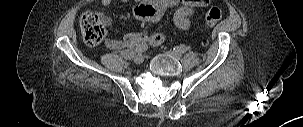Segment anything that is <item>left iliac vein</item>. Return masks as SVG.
I'll list each match as a JSON object with an SVG mask.
<instances>
[{"mask_svg": "<svg viewBox=\"0 0 303 127\" xmlns=\"http://www.w3.org/2000/svg\"><path fill=\"white\" fill-rule=\"evenodd\" d=\"M167 54L175 59H180L182 55L179 50H170Z\"/></svg>", "mask_w": 303, "mask_h": 127, "instance_id": "1", "label": "left iliac vein"}]
</instances>
